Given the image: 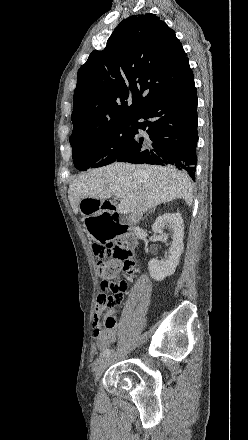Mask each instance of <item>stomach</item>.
<instances>
[{
	"label": "stomach",
	"mask_w": 248,
	"mask_h": 440,
	"mask_svg": "<svg viewBox=\"0 0 248 440\" xmlns=\"http://www.w3.org/2000/svg\"><path fill=\"white\" fill-rule=\"evenodd\" d=\"M91 199V198H86ZM83 199L81 216L87 218L88 236L91 237V246H108V241H116V228H112L110 209H104L102 201Z\"/></svg>",
	"instance_id": "stomach-1"
}]
</instances>
